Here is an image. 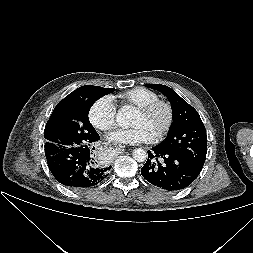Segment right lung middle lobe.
Here are the masks:
<instances>
[{"label": "right lung middle lobe", "mask_w": 253, "mask_h": 253, "mask_svg": "<svg viewBox=\"0 0 253 253\" xmlns=\"http://www.w3.org/2000/svg\"><path fill=\"white\" fill-rule=\"evenodd\" d=\"M113 91L115 89L86 85L62 99L45 126V155L92 142L96 130L89 122V109L97 99Z\"/></svg>", "instance_id": "1"}]
</instances>
